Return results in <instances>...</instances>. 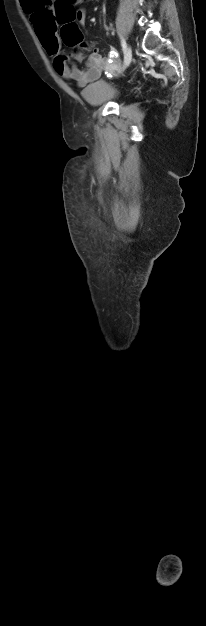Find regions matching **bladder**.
<instances>
[{"mask_svg":"<svg viewBox=\"0 0 206 626\" xmlns=\"http://www.w3.org/2000/svg\"><path fill=\"white\" fill-rule=\"evenodd\" d=\"M120 96V90L113 84L99 80L89 84L83 91V99L91 105H101L115 101Z\"/></svg>","mask_w":206,"mask_h":626,"instance_id":"1","label":"bladder"}]
</instances>
